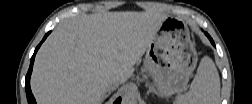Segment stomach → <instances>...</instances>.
I'll return each mask as SVG.
<instances>
[{"mask_svg": "<svg viewBox=\"0 0 252 104\" xmlns=\"http://www.w3.org/2000/svg\"><path fill=\"white\" fill-rule=\"evenodd\" d=\"M198 56L187 26L165 18L149 44L144 69L152 76L162 96L182 92L191 77Z\"/></svg>", "mask_w": 252, "mask_h": 104, "instance_id": "stomach-1", "label": "stomach"}]
</instances>
